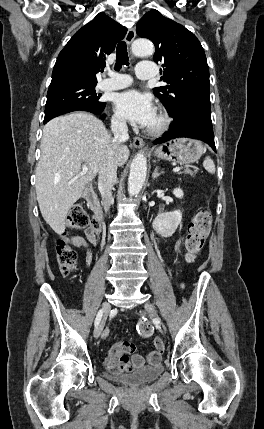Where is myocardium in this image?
I'll return each mask as SVG.
<instances>
[{
    "instance_id": "f54148a6",
    "label": "myocardium",
    "mask_w": 264,
    "mask_h": 429,
    "mask_svg": "<svg viewBox=\"0 0 264 429\" xmlns=\"http://www.w3.org/2000/svg\"><path fill=\"white\" fill-rule=\"evenodd\" d=\"M157 122L154 125H148L146 133L151 136H159L163 134L170 125V117L167 113L160 111L156 114Z\"/></svg>"
}]
</instances>
